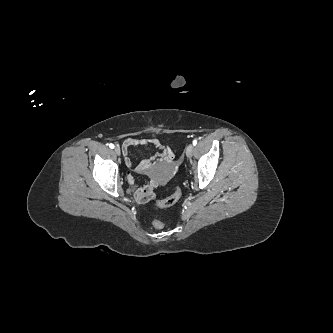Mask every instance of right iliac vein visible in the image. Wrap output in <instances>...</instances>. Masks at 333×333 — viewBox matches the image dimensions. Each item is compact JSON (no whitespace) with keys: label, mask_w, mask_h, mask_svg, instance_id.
Returning a JSON list of instances; mask_svg holds the SVG:
<instances>
[{"label":"right iliac vein","mask_w":333,"mask_h":333,"mask_svg":"<svg viewBox=\"0 0 333 333\" xmlns=\"http://www.w3.org/2000/svg\"><path fill=\"white\" fill-rule=\"evenodd\" d=\"M114 152L118 156L121 154V151H120V149L118 147H115Z\"/></svg>","instance_id":"63e3f726"}]
</instances>
